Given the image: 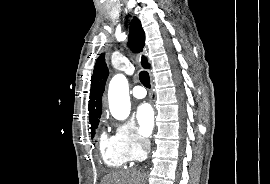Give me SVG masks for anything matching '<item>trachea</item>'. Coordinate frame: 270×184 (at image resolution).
Segmentation results:
<instances>
[{"mask_svg":"<svg viewBox=\"0 0 270 184\" xmlns=\"http://www.w3.org/2000/svg\"><path fill=\"white\" fill-rule=\"evenodd\" d=\"M140 82L147 88H150V77L148 72L142 71L139 74Z\"/></svg>","mask_w":270,"mask_h":184,"instance_id":"3493384b","label":"trachea"}]
</instances>
